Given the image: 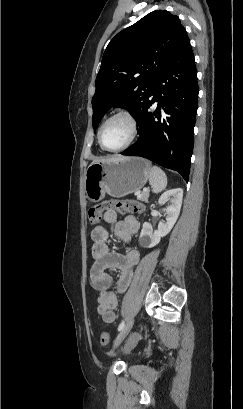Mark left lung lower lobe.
I'll return each mask as SVG.
<instances>
[{
    "label": "left lung lower lobe",
    "mask_w": 243,
    "mask_h": 409,
    "mask_svg": "<svg viewBox=\"0 0 243 409\" xmlns=\"http://www.w3.org/2000/svg\"><path fill=\"white\" fill-rule=\"evenodd\" d=\"M198 91L195 60L188 39L153 83L150 97L136 118L139 138L122 155L147 158L178 171L188 182ZM156 101L157 107L151 111Z\"/></svg>",
    "instance_id": "obj_1"
}]
</instances>
